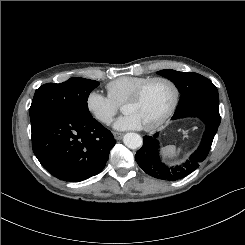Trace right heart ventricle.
I'll return each mask as SVG.
<instances>
[{
  "label": "right heart ventricle",
  "instance_id": "right-heart-ventricle-1",
  "mask_svg": "<svg viewBox=\"0 0 245 245\" xmlns=\"http://www.w3.org/2000/svg\"><path fill=\"white\" fill-rule=\"evenodd\" d=\"M142 76H121L106 85L108 96L117 104L125 102L128 96L144 81Z\"/></svg>",
  "mask_w": 245,
  "mask_h": 245
}]
</instances>
